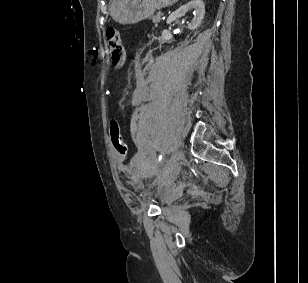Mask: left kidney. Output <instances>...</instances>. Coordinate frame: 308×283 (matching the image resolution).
Here are the masks:
<instances>
[{"mask_svg":"<svg viewBox=\"0 0 308 283\" xmlns=\"http://www.w3.org/2000/svg\"><path fill=\"white\" fill-rule=\"evenodd\" d=\"M194 9L195 16L192 19V21L188 24V28L190 30L196 29L200 24L201 21L204 18L205 15V5L202 0H192L189 3L182 5L180 8H178L176 11L171 13L169 17L167 18V24H171L173 21H175L177 18L181 17L185 13H187L189 10ZM173 38L172 34L168 32L167 30H163L162 32V39L165 41H169Z\"/></svg>","mask_w":308,"mask_h":283,"instance_id":"1","label":"left kidney"}]
</instances>
